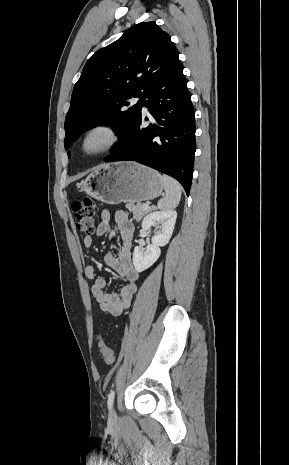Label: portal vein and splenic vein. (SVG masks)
Listing matches in <instances>:
<instances>
[{
  "mask_svg": "<svg viewBox=\"0 0 289 465\" xmlns=\"http://www.w3.org/2000/svg\"><path fill=\"white\" fill-rule=\"evenodd\" d=\"M144 209H149V204H143Z\"/></svg>",
  "mask_w": 289,
  "mask_h": 465,
  "instance_id": "obj_1",
  "label": "portal vein and splenic vein"
}]
</instances>
